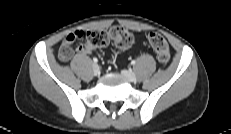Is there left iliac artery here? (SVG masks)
<instances>
[{
  "instance_id": "obj_1",
  "label": "left iliac artery",
  "mask_w": 231,
  "mask_h": 134,
  "mask_svg": "<svg viewBox=\"0 0 231 134\" xmlns=\"http://www.w3.org/2000/svg\"><path fill=\"white\" fill-rule=\"evenodd\" d=\"M135 63H136V61H135V60H133V61L131 62V64H132V65H135Z\"/></svg>"
}]
</instances>
